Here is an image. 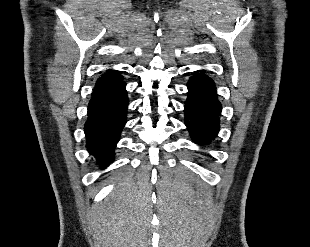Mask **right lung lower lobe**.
<instances>
[{
  "mask_svg": "<svg viewBox=\"0 0 310 247\" xmlns=\"http://www.w3.org/2000/svg\"><path fill=\"white\" fill-rule=\"evenodd\" d=\"M128 97L124 81L96 85L84 131L87 149L103 166L114 159V148L126 123Z\"/></svg>",
  "mask_w": 310,
  "mask_h": 247,
  "instance_id": "98d812e1",
  "label": "right lung lower lobe"
}]
</instances>
